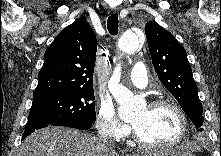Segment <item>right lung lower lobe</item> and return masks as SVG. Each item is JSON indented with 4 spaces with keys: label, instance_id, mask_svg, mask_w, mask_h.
Returning <instances> with one entry per match:
<instances>
[{
    "label": "right lung lower lobe",
    "instance_id": "obj_1",
    "mask_svg": "<svg viewBox=\"0 0 221 156\" xmlns=\"http://www.w3.org/2000/svg\"><path fill=\"white\" fill-rule=\"evenodd\" d=\"M52 125H54V126H67V127L87 130V129L91 128L92 123H57V124H52ZM47 126H49V125H47ZM47 126H44V127H47ZM36 129L37 128L25 129L22 139L26 138L28 135L33 133ZM38 129H40V128H38Z\"/></svg>",
    "mask_w": 221,
    "mask_h": 156
}]
</instances>
